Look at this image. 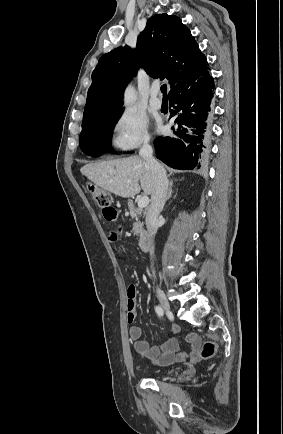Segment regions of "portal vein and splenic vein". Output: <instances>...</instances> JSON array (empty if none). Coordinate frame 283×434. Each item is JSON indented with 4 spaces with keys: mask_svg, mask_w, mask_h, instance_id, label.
Here are the masks:
<instances>
[{
    "mask_svg": "<svg viewBox=\"0 0 283 434\" xmlns=\"http://www.w3.org/2000/svg\"><path fill=\"white\" fill-rule=\"evenodd\" d=\"M149 204V198L148 196H142L139 200H138V207L139 208H145L147 207Z\"/></svg>",
    "mask_w": 283,
    "mask_h": 434,
    "instance_id": "portal-vein-and-splenic-vein-1",
    "label": "portal vein and splenic vein"
}]
</instances>
